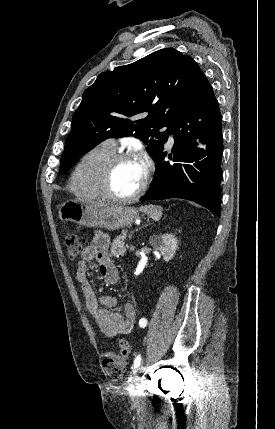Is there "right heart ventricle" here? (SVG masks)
Returning <instances> with one entry per match:
<instances>
[{"instance_id":"obj_1","label":"right heart ventricle","mask_w":275,"mask_h":429,"mask_svg":"<svg viewBox=\"0 0 275 429\" xmlns=\"http://www.w3.org/2000/svg\"><path fill=\"white\" fill-rule=\"evenodd\" d=\"M114 154V150L104 143L87 151L75 166L68 185L72 193L87 199L99 200L102 198L98 189L100 171Z\"/></svg>"}]
</instances>
